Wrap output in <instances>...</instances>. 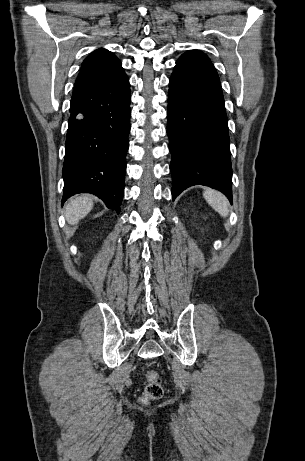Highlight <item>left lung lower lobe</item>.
Returning <instances> with one entry per match:
<instances>
[{"mask_svg": "<svg viewBox=\"0 0 305 461\" xmlns=\"http://www.w3.org/2000/svg\"><path fill=\"white\" fill-rule=\"evenodd\" d=\"M167 119L173 200L190 186L205 185L231 201L224 98L218 74L204 53L191 50L177 60L169 80Z\"/></svg>", "mask_w": 305, "mask_h": 461, "instance_id": "0a47b994", "label": "left lung lower lobe"}]
</instances>
